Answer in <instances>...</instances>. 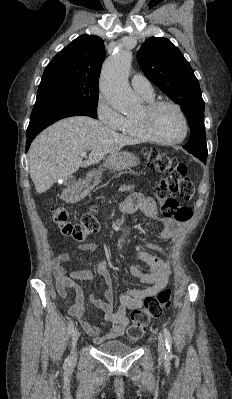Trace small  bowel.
<instances>
[{"instance_id":"c3829d8e","label":"small bowel","mask_w":232,"mask_h":399,"mask_svg":"<svg viewBox=\"0 0 232 399\" xmlns=\"http://www.w3.org/2000/svg\"><path fill=\"white\" fill-rule=\"evenodd\" d=\"M125 209L141 210L146 215L154 218L156 216L158 203L154 198L145 197L140 192L131 193L125 200ZM180 229L178 227L166 226L162 228V239H178ZM145 247L163 253L168 257L166 261L154 257L139 249H132L126 254V259H138L150 265L152 271L144 273L135 265L129 267L132 277L140 284H150L148 287L139 288L132 292L121 293L119 295V307L116 313L111 311V302L114 298L113 279L108 267L105 264V253L97 250L93 243H82L81 248L90 253L88 259L80 264L79 270L66 272L63 263L69 261L66 253H61L52 262V272L59 294L63 300L70 298L69 291L73 293V304L67 311L71 316L78 319V327L84 333L92 336L94 345L104 343L115 344L117 336L120 335L129 324L128 312L130 309H138L143 306L144 300L157 295L169 282L172 262L167 252L163 251L156 242H147ZM96 263L97 271L105 285V299L91 298L85 300L81 289L74 281L75 278L84 277L94 280L95 277L84 270L89 264ZM87 306L95 307L100 313V324L91 325L84 317Z\"/></svg>"}]
</instances>
